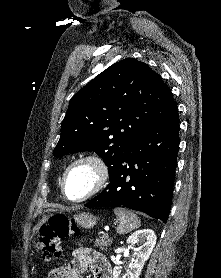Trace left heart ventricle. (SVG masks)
<instances>
[{"instance_id": "left-heart-ventricle-1", "label": "left heart ventricle", "mask_w": 221, "mask_h": 278, "mask_svg": "<svg viewBox=\"0 0 221 278\" xmlns=\"http://www.w3.org/2000/svg\"><path fill=\"white\" fill-rule=\"evenodd\" d=\"M95 170L88 164L74 167L68 174L66 180V193L70 198H79L85 195L95 181Z\"/></svg>"}]
</instances>
